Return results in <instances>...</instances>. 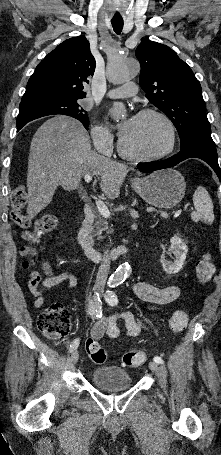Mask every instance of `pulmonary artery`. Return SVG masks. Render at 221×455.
I'll list each match as a JSON object with an SVG mask.
<instances>
[{
    "mask_svg": "<svg viewBox=\"0 0 221 455\" xmlns=\"http://www.w3.org/2000/svg\"><path fill=\"white\" fill-rule=\"evenodd\" d=\"M137 93V85L133 82L125 83L124 85L112 89L107 92V97L112 99L131 97Z\"/></svg>",
    "mask_w": 221,
    "mask_h": 455,
    "instance_id": "1",
    "label": "pulmonary artery"
}]
</instances>
